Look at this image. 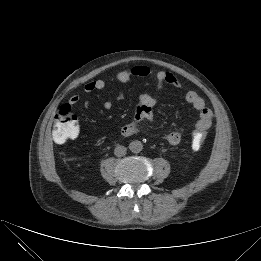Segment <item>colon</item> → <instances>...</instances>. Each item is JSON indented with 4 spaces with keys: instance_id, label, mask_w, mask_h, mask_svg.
<instances>
[{
    "instance_id": "obj_1",
    "label": "colon",
    "mask_w": 261,
    "mask_h": 261,
    "mask_svg": "<svg viewBox=\"0 0 261 261\" xmlns=\"http://www.w3.org/2000/svg\"><path fill=\"white\" fill-rule=\"evenodd\" d=\"M79 133L77 118L71 112L70 106L63 105L55 115L52 138L56 143H64L65 141L75 138ZM207 131H196L191 138V146L194 150L200 149L205 139Z\"/></svg>"
}]
</instances>
